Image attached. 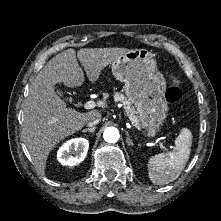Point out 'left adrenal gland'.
<instances>
[{
	"label": "left adrenal gland",
	"mask_w": 221,
	"mask_h": 221,
	"mask_svg": "<svg viewBox=\"0 0 221 221\" xmlns=\"http://www.w3.org/2000/svg\"><path fill=\"white\" fill-rule=\"evenodd\" d=\"M126 143H127V145L128 146H132L133 145V142H132V140L130 139V136H129V134H128V132H126Z\"/></svg>",
	"instance_id": "a2214340"
}]
</instances>
